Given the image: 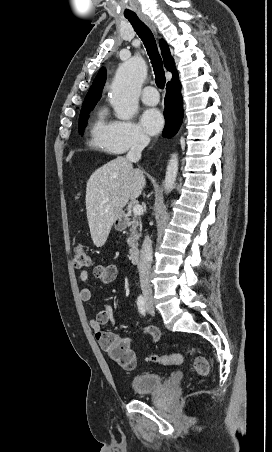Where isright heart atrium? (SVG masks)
I'll use <instances>...</instances> for the list:
<instances>
[{
	"label": "right heart atrium",
	"mask_w": 272,
	"mask_h": 452,
	"mask_svg": "<svg viewBox=\"0 0 272 452\" xmlns=\"http://www.w3.org/2000/svg\"><path fill=\"white\" fill-rule=\"evenodd\" d=\"M148 142L147 135L133 121H114L109 144L114 152L122 153L129 149L140 148Z\"/></svg>",
	"instance_id": "d8ad5b80"
}]
</instances>
